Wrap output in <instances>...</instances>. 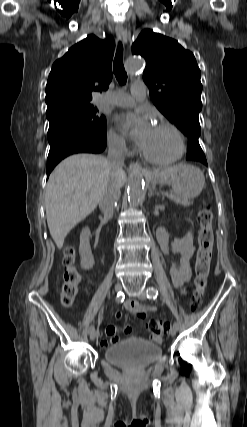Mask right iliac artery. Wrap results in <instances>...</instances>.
<instances>
[{"label":"right iliac artery","mask_w":247,"mask_h":427,"mask_svg":"<svg viewBox=\"0 0 247 427\" xmlns=\"http://www.w3.org/2000/svg\"><path fill=\"white\" fill-rule=\"evenodd\" d=\"M124 298H125L124 293H123V292H118V294H117V296H116V301H117V303H121V302H123V301H124ZM93 329H94V325H91V326L89 327L88 332H91Z\"/></svg>","instance_id":"obj_1"}]
</instances>
